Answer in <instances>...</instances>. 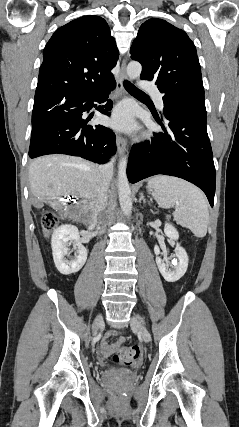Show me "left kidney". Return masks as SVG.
Returning <instances> with one entry per match:
<instances>
[{
    "label": "left kidney",
    "instance_id": "obj_1",
    "mask_svg": "<svg viewBox=\"0 0 239 427\" xmlns=\"http://www.w3.org/2000/svg\"><path fill=\"white\" fill-rule=\"evenodd\" d=\"M164 232L170 239H179L178 231L170 223H165ZM154 253L156 255V264L158 269L167 282H175L179 280L187 271L188 255L185 249L179 244H177L175 249V256L177 259H174L171 265L165 263L164 260L159 257L160 249L157 245L154 247Z\"/></svg>",
    "mask_w": 239,
    "mask_h": 427
}]
</instances>
